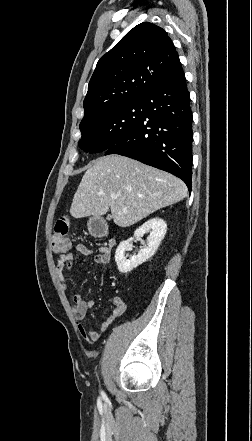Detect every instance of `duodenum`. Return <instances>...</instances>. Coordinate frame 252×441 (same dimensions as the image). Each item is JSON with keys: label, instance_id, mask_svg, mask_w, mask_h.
<instances>
[{"label": "duodenum", "instance_id": "1", "mask_svg": "<svg viewBox=\"0 0 252 441\" xmlns=\"http://www.w3.org/2000/svg\"><path fill=\"white\" fill-rule=\"evenodd\" d=\"M91 231L92 234L96 237H102L107 233V227L104 223L100 222L99 220H94L91 223ZM115 240L110 241V247L114 246Z\"/></svg>", "mask_w": 252, "mask_h": 441}]
</instances>
